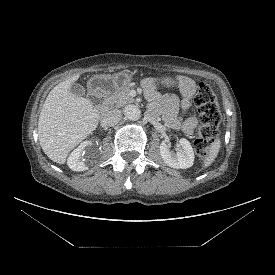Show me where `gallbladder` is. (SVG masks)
Instances as JSON below:
<instances>
[{
	"label": "gallbladder",
	"instance_id": "obj_1",
	"mask_svg": "<svg viewBox=\"0 0 275 275\" xmlns=\"http://www.w3.org/2000/svg\"><path fill=\"white\" fill-rule=\"evenodd\" d=\"M70 91L76 96H83L86 94L85 88L79 83H73L70 87Z\"/></svg>",
	"mask_w": 275,
	"mask_h": 275
}]
</instances>
